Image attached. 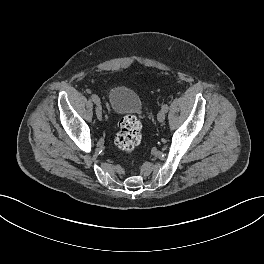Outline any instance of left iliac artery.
Segmentation results:
<instances>
[{"mask_svg":"<svg viewBox=\"0 0 264 264\" xmlns=\"http://www.w3.org/2000/svg\"><path fill=\"white\" fill-rule=\"evenodd\" d=\"M168 109H169V106H168L167 104H164V105L162 106V110H164L165 112H167Z\"/></svg>","mask_w":264,"mask_h":264,"instance_id":"44dca946","label":"left iliac artery"}]
</instances>
